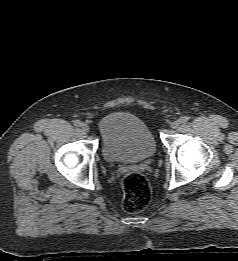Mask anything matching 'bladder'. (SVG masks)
<instances>
[{
  "instance_id": "31cf9c89",
  "label": "bladder",
  "mask_w": 238,
  "mask_h": 261,
  "mask_svg": "<svg viewBox=\"0 0 238 261\" xmlns=\"http://www.w3.org/2000/svg\"><path fill=\"white\" fill-rule=\"evenodd\" d=\"M101 151L109 163H136L156 152V140L149 127L137 116L112 112L99 122Z\"/></svg>"
}]
</instances>
